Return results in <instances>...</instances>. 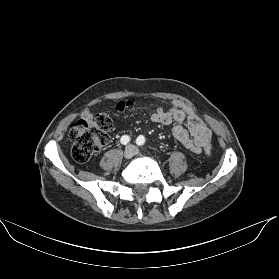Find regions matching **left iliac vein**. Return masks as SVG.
I'll return each instance as SVG.
<instances>
[{
	"label": "left iliac vein",
	"mask_w": 279,
	"mask_h": 279,
	"mask_svg": "<svg viewBox=\"0 0 279 279\" xmlns=\"http://www.w3.org/2000/svg\"><path fill=\"white\" fill-rule=\"evenodd\" d=\"M135 154H138V150L137 149H135Z\"/></svg>",
	"instance_id": "4c4485c4"
}]
</instances>
